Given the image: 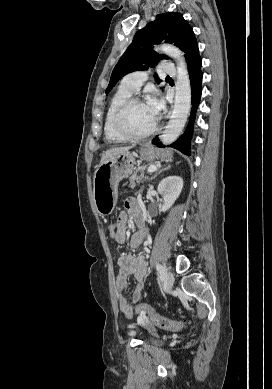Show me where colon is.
Segmentation results:
<instances>
[{"instance_id":"1","label":"colon","mask_w":272,"mask_h":389,"mask_svg":"<svg viewBox=\"0 0 272 389\" xmlns=\"http://www.w3.org/2000/svg\"><path fill=\"white\" fill-rule=\"evenodd\" d=\"M108 232L111 238L114 239L118 232V227L116 223H111L108 226ZM136 311L146 318L149 319V321L155 325L158 328L170 330V331H177L184 327V322L177 321V320H171L164 316L159 315L156 313L149 305L140 303L136 306Z\"/></svg>"}]
</instances>
